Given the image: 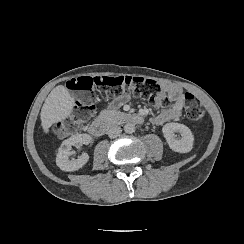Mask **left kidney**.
<instances>
[{
	"instance_id": "obj_1",
	"label": "left kidney",
	"mask_w": 244,
	"mask_h": 244,
	"mask_svg": "<svg viewBox=\"0 0 244 244\" xmlns=\"http://www.w3.org/2000/svg\"><path fill=\"white\" fill-rule=\"evenodd\" d=\"M162 131L173 151L187 153L192 150L194 137L191 130L184 124L167 123L163 126ZM175 133H179L181 138H178Z\"/></svg>"
}]
</instances>
